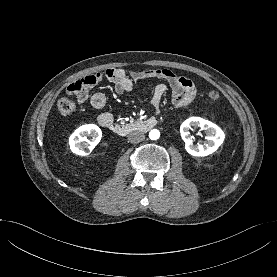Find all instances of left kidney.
<instances>
[{"mask_svg":"<svg viewBox=\"0 0 277 277\" xmlns=\"http://www.w3.org/2000/svg\"><path fill=\"white\" fill-rule=\"evenodd\" d=\"M198 127L204 130L207 136L204 144L195 145L190 137L189 130ZM180 133L185 142L186 151L190 155L197 157H204L214 153L225 138V134L220 127L201 117H191L185 120L180 127Z\"/></svg>","mask_w":277,"mask_h":277,"instance_id":"5707ae66","label":"left kidney"}]
</instances>
